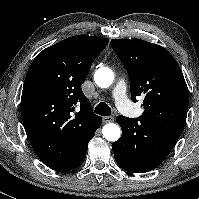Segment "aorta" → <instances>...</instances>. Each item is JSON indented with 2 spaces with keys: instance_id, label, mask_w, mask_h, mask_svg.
<instances>
[{
  "instance_id": "aorta-1",
  "label": "aorta",
  "mask_w": 199,
  "mask_h": 199,
  "mask_svg": "<svg viewBox=\"0 0 199 199\" xmlns=\"http://www.w3.org/2000/svg\"><path fill=\"white\" fill-rule=\"evenodd\" d=\"M95 83L101 88L111 86L114 80V74L107 67L99 68L94 75ZM103 137L108 141H117L121 136V129L117 124L108 123L102 129Z\"/></svg>"
}]
</instances>
